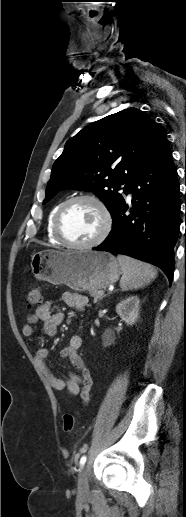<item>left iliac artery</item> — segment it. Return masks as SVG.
I'll use <instances>...</instances> for the list:
<instances>
[{
  "label": "left iliac artery",
  "mask_w": 186,
  "mask_h": 517,
  "mask_svg": "<svg viewBox=\"0 0 186 517\" xmlns=\"http://www.w3.org/2000/svg\"><path fill=\"white\" fill-rule=\"evenodd\" d=\"M86 459H87V458H86V456H85V455H83V456L81 457V459H80V467H83V466H84V464H85V462H86Z\"/></svg>",
  "instance_id": "1"
}]
</instances>
